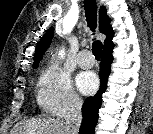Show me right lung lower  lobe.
<instances>
[{
    "instance_id": "98d812e1",
    "label": "right lung lower lobe",
    "mask_w": 153,
    "mask_h": 134,
    "mask_svg": "<svg viewBox=\"0 0 153 134\" xmlns=\"http://www.w3.org/2000/svg\"><path fill=\"white\" fill-rule=\"evenodd\" d=\"M113 47L114 45L103 50L99 73L101 85L94 97H88L83 104V120L79 134H94V128L98 122V111L102 104V94L106 90L107 79L110 74V65L113 60Z\"/></svg>"
}]
</instances>
